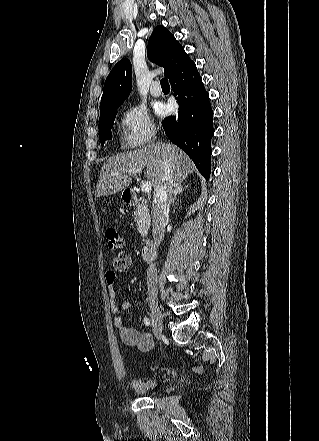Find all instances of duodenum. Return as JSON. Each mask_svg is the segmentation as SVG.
I'll use <instances>...</instances> for the list:
<instances>
[{
	"mask_svg": "<svg viewBox=\"0 0 319 441\" xmlns=\"http://www.w3.org/2000/svg\"><path fill=\"white\" fill-rule=\"evenodd\" d=\"M124 200L128 204H136L138 203V196L135 191L133 190H126L124 191ZM142 258L146 262H153L156 258V246L152 241H145L142 245L141 249Z\"/></svg>",
	"mask_w": 319,
	"mask_h": 441,
	"instance_id": "obj_1",
	"label": "duodenum"
}]
</instances>
